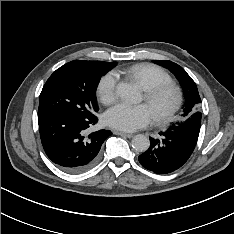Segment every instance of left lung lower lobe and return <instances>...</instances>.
<instances>
[{
    "label": "left lung lower lobe",
    "mask_w": 234,
    "mask_h": 234,
    "mask_svg": "<svg viewBox=\"0 0 234 234\" xmlns=\"http://www.w3.org/2000/svg\"><path fill=\"white\" fill-rule=\"evenodd\" d=\"M162 140L150 138L149 149L139 156L140 164L157 174L180 168L191 156L198 137L181 128H169L159 133Z\"/></svg>",
    "instance_id": "0a47b994"
}]
</instances>
